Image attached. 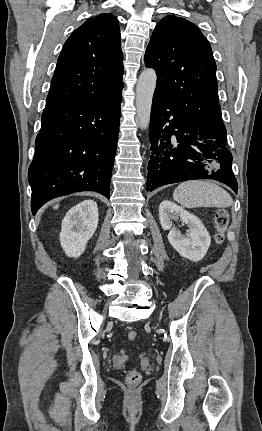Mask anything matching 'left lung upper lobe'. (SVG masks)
<instances>
[{"label":"left lung upper lobe","instance_id":"left-lung-upper-lobe-1","mask_svg":"<svg viewBox=\"0 0 262 431\" xmlns=\"http://www.w3.org/2000/svg\"><path fill=\"white\" fill-rule=\"evenodd\" d=\"M155 68L156 92L197 126L225 127L218 102L216 63L199 28L184 18L166 16L155 27L145 53Z\"/></svg>","mask_w":262,"mask_h":431}]
</instances>
